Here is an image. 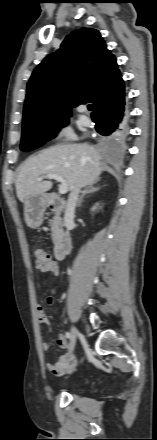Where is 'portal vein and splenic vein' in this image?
<instances>
[{"label":"portal vein and splenic vein","mask_w":157,"mask_h":440,"mask_svg":"<svg viewBox=\"0 0 157 440\" xmlns=\"http://www.w3.org/2000/svg\"><path fill=\"white\" fill-rule=\"evenodd\" d=\"M44 178H47V179H55V180L59 181V182H60V185H59V193H60V194H65V193H67V191H68V185H67L66 180H65L62 176L57 175V174H52V173H51V174H46V175H44V176L38 178V181H41V180L44 179Z\"/></svg>","instance_id":"1"}]
</instances>
